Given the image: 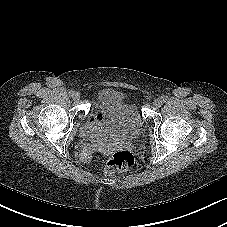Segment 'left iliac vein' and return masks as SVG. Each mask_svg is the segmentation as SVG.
<instances>
[{
    "instance_id": "1",
    "label": "left iliac vein",
    "mask_w": 227,
    "mask_h": 227,
    "mask_svg": "<svg viewBox=\"0 0 227 227\" xmlns=\"http://www.w3.org/2000/svg\"><path fill=\"white\" fill-rule=\"evenodd\" d=\"M161 100L160 99H155L153 101V105L157 108V107H160L161 106Z\"/></svg>"
}]
</instances>
